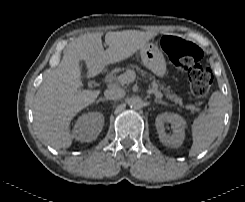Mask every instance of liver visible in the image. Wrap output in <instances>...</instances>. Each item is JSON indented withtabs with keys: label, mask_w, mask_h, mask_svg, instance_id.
Instances as JSON below:
<instances>
[{
	"label": "liver",
	"mask_w": 245,
	"mask_h": 202,
	"mask_svg": "<svg viewBox=\"0 0 245 202\" xmlns=\"http://www.w3.org/2000/svg\"><path fill=\"white\" fill-rule=\"evenodd\" d=\"M156 35L137 30L107 32V50L98 32L71 41L60 63L42 82L34 98V124L41 138L55 149L69 148L73 139L72 119L99 96V90H81V61L86 63L87 77H95L107 65L131 57Z\"/></svg>",
	"instance_id": "obj_1"
}]
</instances>
